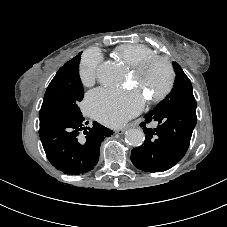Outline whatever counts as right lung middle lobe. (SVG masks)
Returning <instances> with one entry per match:
<instances>
[{"label":"right lung middle lobe","mask_w":227,"mask_h":227,"mask_svg":"<svg viewBox=\"0 0 227 227\" xmlns=\"http://www.w3.org/2000/svg\"><path fill=\"white\" fill-rule=\"evenodd\" d=\"M76 57V60L65 63L50 82L39 112L40 128L56 119L83 117L78 106L83 99L79 78L80 54Z\"/></svg>","instance_id":"dd1d6c3e"}]
</instances>
